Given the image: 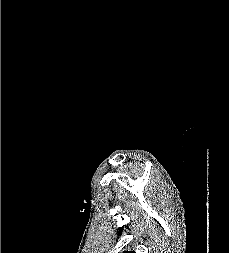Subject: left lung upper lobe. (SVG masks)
I'll return each mask as SVG.
<instances>
[{"label":"left lung upper lobe","instance_id":"obj_1","mask_svg":"<svg viewBox=\"0 0 229 253\" xmlns=\"http://www.w3.org/2000/svg\"><path fill=\"white\" fill-rule=\"evenodd\" d=\"M124 253H135V252L134 251H129V252L124 251Z\"/></svg>","mask_w":229,"mask_h":253}]
</instances>
